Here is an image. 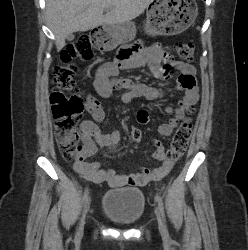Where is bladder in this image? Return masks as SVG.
<instances>
[{
	"instance_id": "1",
	"label": "bladder",
	"mask_w": 248,
	"mask_h": 250,
	"mask_svg": "<svg viewBox=\"0 0 248 250\" xmlns=\"http://www.w3.org/2000/svg\"><path fill=\"white\" fill-rule=\"evenodd\" d=\"M145 196L141 189L122 187L108 190L101 201L102 212L120 225H132L144 214Z\"/></svg>"
}]
</instances>
